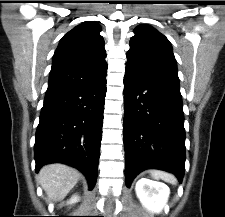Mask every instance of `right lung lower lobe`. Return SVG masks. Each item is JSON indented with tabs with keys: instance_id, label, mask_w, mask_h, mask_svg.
<instances>
[{
	"instance_id": "right-lung-lower-lobe-1",
	"label": "right lung lower lobe",
	"mask_w": 225,
	"mask_h": 217,
	"mask_svg": "<svg viewBox=\"0 0 225 217\" xmlns=\"http://www.w3.org/2000/svg\"><path fill=\"white\" fill-rule=\"evenodd\" d=\"M106 78L46 93L36 131V171L60 162L79 169L92 189L97 177Z\"/></svg>"
}]
</instances>
